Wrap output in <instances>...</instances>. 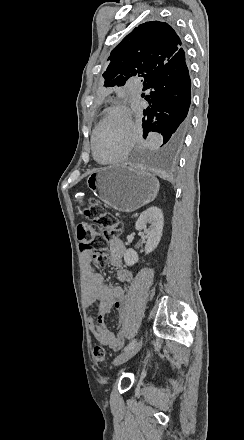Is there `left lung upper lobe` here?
I'll list each match as a JSON object with an SVG mask.
<instances>
[{
  "label": "left lung upper lobe",
  "mask_w": 244,
  "mask_h": 440,
  "mask_svg": "<svg viewBox=\"0 0 244 440\" xmlns=\"http://www.w3.org/2000/svg\"><path fill=\"white\" fill-rule=\"evenodd\" d=\"M185 59L182 42L165 22L151 21L136 27L111 52L103 73L105 87L123 86L131 77L148 83L163 67Z\"/></svg>",
  "instance_id": "1"
}]
</instances>
